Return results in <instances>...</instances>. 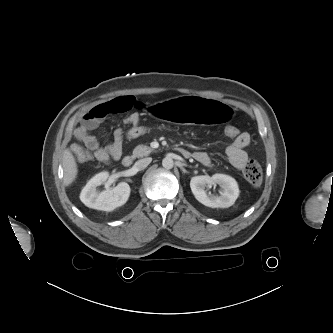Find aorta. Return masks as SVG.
<instances>
[{
	"label": "aorta",
	"instance_id": "aorta-1",
	"mask_svg": "<svg viewBox=\"0 0 333 333\" xmlns=\"http://www.w3.org/2000/svg\"><path fill=\"white\" fill-rule=\"evenodd\" d=\"M162 166L166 169H171L173 168L174 166V161L172 158L170 157H165L163 160H162Z\"/></svg>",
	"mask_w": 333,
	"mask_h": 333
}]
</instances>
